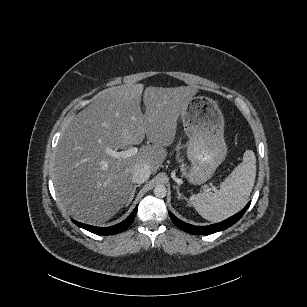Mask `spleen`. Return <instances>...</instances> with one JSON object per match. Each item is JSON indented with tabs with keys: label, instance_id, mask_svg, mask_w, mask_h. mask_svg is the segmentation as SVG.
<instances>
[{
	"label": "spleen",
	"instance_id": "obj_1",
	"mask_svg": "<svg viewBox=\"0 0 307 307\" xmlns=\"http://www.w3.org/2000/svg\"><path fill=\"white\" fill-rule=\"evenodd\" d=\"M256 156L246 150L241 164L234 169L215 193L191 196L190 203L207 220L219 222L239 212L247 203L256 179Z\"/></svg>",
	"mask_w": 307,
	"mask_h": 307
}]
</instances>
